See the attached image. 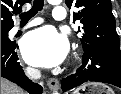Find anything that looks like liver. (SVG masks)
Returning <instances> with one entry per match:
<instances>
[{
	"mask_svg": "<svg viewBox=\"0 0 121 94\" xmlns=\"http://www.w3.org/2000/svg\"><path fill=\"white\" fill-rule=\"evenodd\" d=\"M1 94H24L16 84L1 78Z\"/></svg>",
	"mask_w": 121,
	"mask_h": 94,
	"instance_id": "obj_1",
	"label": "liver"
}]
</instances>
